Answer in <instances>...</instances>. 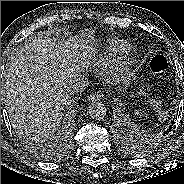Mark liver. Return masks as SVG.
Masks as SVG:
<instances>
[{
    "label": "liver",
    "mask_w": 184,
    "mask_h": 184,
    "mask_svg": "<svg viewBox=\"0 0 184 184\" xmlns=\"http://www.w3.org/2000/svg\"><path fill=\"white\" fill-rule=\"evenodd\" d=\"M65 47L62 50L49 38H35L17 48L6 64L3 95L8 108L22 128L41 143L60 124L70 97V79L90 57L87 51L79 53L88 48L79 40ZM80 57L85 61L76 65Z\"/></svg>",
    "instance_id": "obj_1"
}]
</instances>
